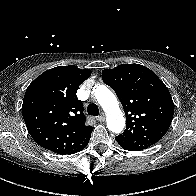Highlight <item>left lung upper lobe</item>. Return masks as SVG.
Instances as JSON below:
<instances>
[{
    "label": "left lung upper lobe",
    "instance_id": "5c2ea615",
    "mask_svg": "<svg viewBox=\"0 0 196 196\" xmlns=\"http://www.w3.org/2000/svg\"><path fill=\"white\" fill-rule=\"evenodd\" d=\"M103 81L115 90L126 114V129L118 143L135 151L159 141L174 115L170 92L158 76L139 64H121L102 71Z\"/></svg>",
    "mask_w": 196,
    "mask_h": 196
}]
</instances>
